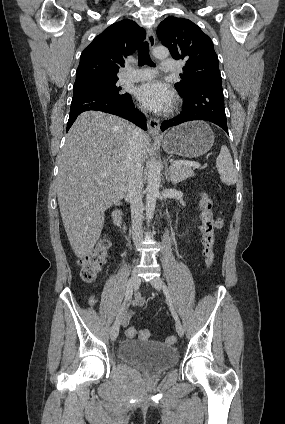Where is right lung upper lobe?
<instances>
[{"mask_svg":"<svg viewBox=\"0 0 285 424\" xmlns=\"http://www.w3.org/2000/svg\"><path fill=\"white\" fill-rule=\"evenodd\" d=\"M145 36V30L132 20L110 25L82 52L75 84L118 80L119 67L124 66L126 57L134 53Z\"/></svg>","mask_w":285,"mask_h":424,"instance_id":"cb5924a9","label":"right lung upper lobe"}]
</instances>
